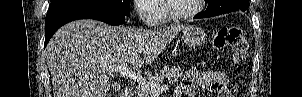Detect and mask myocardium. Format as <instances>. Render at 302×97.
<instances>
[{
    "instance_id": "1",
    "label": "myocardium",
    "mask_w": 302,
    "mask_h": 97,
    "mask_svg": "<svg viewBox=\"0 0 302 97\" xmlns=\"http://www.w3.org/2000/svg\"><path fill=\"white\" fill-rule=\"evenodd\" d=\"M170 1L171 0H164V6L167 16L171 21L174 22L187 20L198 15L203 10L205 3V0H197V6L192 11L183 14H177L173 11Z\"/></svg>"
}]
</instances>
